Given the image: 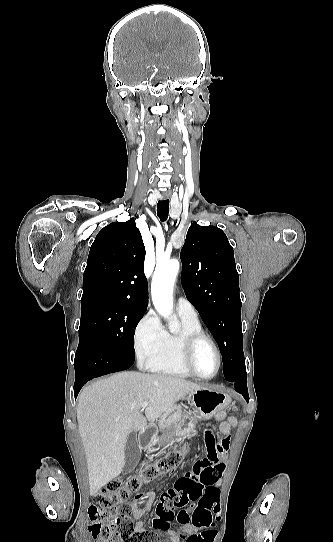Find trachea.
Listing matches in <instances>:
<instances>
[{
	"mask_svg": "<svg viewBox=\"0 0 333 542\" xmlns=\"http://www.w3.org/2000/svg\"><path fill=\"white\" fill-rule=\"evenodd\" d=\"M157 213H158V217L160 218V220H162V222L167 220L168 213H169V199L158 201Z\"/></svg>",
	"mask_w": 333,
	"mask_h": 542,
	"instance_id": "trachea-1",
	"label": "trachea"
}]
</instances>
